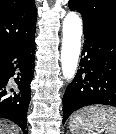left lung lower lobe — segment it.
<instances>
[{
    "instance_id": "1",
    "label": "left lung lower lobe",
    "mask_w": 116,
    "mask_h": 134,
    "mask_svg": "<svg viewBox=\"0 0 116 134\" xmlns=\"http://www.w3.org/2000/svg\"><path fill=\"white\" fill-rule=\"evenodd\" d=\"M80 69L63 97V124L76 110L102 104L116 107V30L83 25Z\"/></svg>"
}]
</instances>
